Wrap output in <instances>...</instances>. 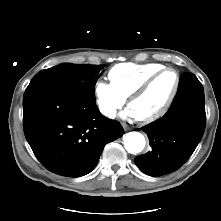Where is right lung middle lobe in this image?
<instances>
[{
  "instance_id": "obj_1",
  "label": "right lung middle lobe",
  "mask_w": 221,
  "mask_h": 221,
  "mask_svg": "<svg viewBox=\"0 0 221 221\" xmlns=\"http://www.w3.org/2000/svg\"><path fill=\"white\" fill-rule=\"evenodd\" d=\"M98 65L60 64L37 73L25 92L47 90L95 102Z\"/></svg>"
}]
</instances>
